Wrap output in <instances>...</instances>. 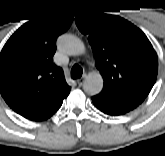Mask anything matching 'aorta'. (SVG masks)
<instances>
[{"mask_svg": "<svg viewBox=\"0 0 165 156\" xmlns=\"http://www.w3.org/2000/svg\"><path fill=\"white\" fill-rule=\"evenodd\" d=\"M59 48L62 52L79 56L85 53L84 43L76 36L64 35L59 41ZM103 88V78L99 73L90 74L84 81L83 89L88 95H96Z\"/></svg>", "mask_w": 165, "mask_h": 156, "instance_id": "762f6f07", "label": "aorta"}]
</instances>
